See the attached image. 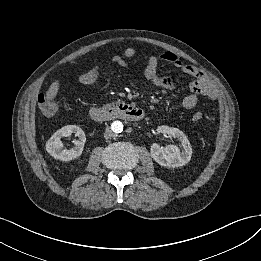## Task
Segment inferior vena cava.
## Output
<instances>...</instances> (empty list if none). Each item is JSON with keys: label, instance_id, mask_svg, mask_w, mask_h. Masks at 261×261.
<instances>
[{"label": "inferior vena cava", "instance_id": "1", "mask_svg": "<svg viewBox=\"0 0 261 261\" xmlns=\"http://www.w3.org/2000/svg\"><path fill=\"white\" fill-rule=\"evenodd\" d=\"M114 136V133L112 132V130L107 127L106 130H105V133H104V138L105 139H110Z\"/></svg>", "mask_w": 261, "mask_h": 261}]
</instances>
